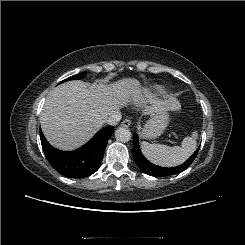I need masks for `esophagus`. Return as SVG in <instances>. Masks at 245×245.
<instances>
[{
	"mask_svg": "<svg viewBox=\"0 0 245 245\" xmlns=\"http://www.w3.org/2000/svg\"><path fill=\"white\" fill-rule=\"evenodd\" d=\"M131 125V120L129 118H126L122 121L121 126L123 127H129Z\"/></svg>",
	"mask_w": 245,
	"mask_h": 245,
	"instance_id": "obj_1",
	"label": "esophagus"
}]
</instances>
